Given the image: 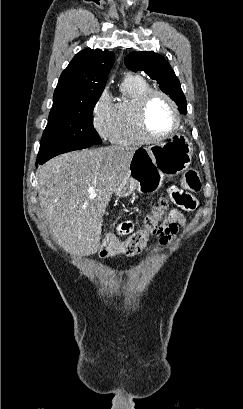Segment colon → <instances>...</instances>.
Wrapping results in <instances>:
<instances>
[{"label": "colon", "mask_w": 243, "mask_h": 409, "mask_svg": "<svg viewBox=\"0 0 243 409\" xmlns=\"http://www.w3.org/2000/svg\"><path fill=\"white\" fill-rule=\"evenodd\" d=\"M181 185L189 192H199L202 188L199 172L194 169L186 171L182 176ZM172 202L178 205L187 204V200L183 196H176L175 199H159L145 215L143 228L135 232L128 240L119 242L114 235L104 237L99 249V256L104 258L118 252L138 254L146 246L150 235L163 236L167 229L161 221L165 219Z\"/></svg>", "instance_id": "5ec220e1"}]
</instances>
